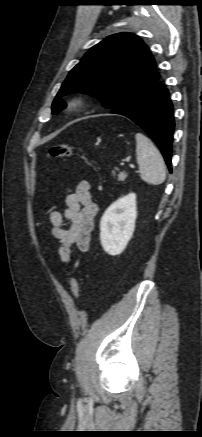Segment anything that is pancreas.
<instances>
[{
	"instance_id": "cf45deb5",
	"label": "pancreas",
	"mask_w": 202,
	"mask_h": 437,
	"mask_svg": "<svg viewBox=\"0 0 202 437\" xmlns=\"http://www.w3.org/2000/svg\"><path fill=\"white\" fill-rule=\"evenodd\" d=\"M112 175L115 176V171L112 172ZM126 178H127V174L125 172H120L118 174V180L119 181H124Z\"/></svg>"
}]
</instances>
